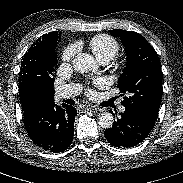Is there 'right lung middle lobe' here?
I'll list each match as a JSON object with an SVG mask.
<instances>
[{"mask_svg":"<svg viewBox=\"0 0 183 183\" xmlns=\"http://www.w3.org/2000/svg\"><path fill=\"white\" fill-rule=\"evenodd\" d=\"M53 85L54 78H49L33 84L26 92L27 102L31 104L46 99H53L55 92Z\"/></svg>","mask_w":183,"mask_h":183,"instance_id":"right-lung-middle-lobe-1","label":"right lung middle lobe"}]
</instances>
